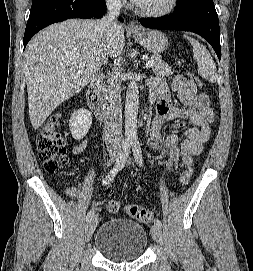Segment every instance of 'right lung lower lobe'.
Instances as JSON below:
<instances>
[{
  "label": "right lung lower lobe",
  "instance_id": "1",
  "mask_svg": "<svg viewBox=\"0 0 253 271\" xmlns=\"http://www.w3.org/2000/svg\"><path fill=\"white\" fill-rule=\"evenodd\" d=\"M105 11L104 0H39L33 2L24 34V49L34 34L52 23L70 18H101Z\"/></svg>",
  "mask_w": 253,
  "mask_h": 271
}]
</instances>
